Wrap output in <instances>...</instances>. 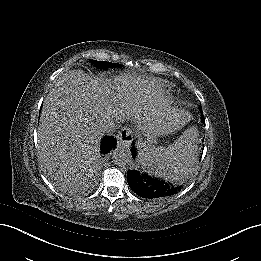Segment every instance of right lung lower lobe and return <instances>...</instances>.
<instances>
[{
	"label": "right lung lower lobe",
	"instance_id": "1",
	"mask_svg": "<svg viewBox=\"0 0 261 261\" xmlns=\"http://www.w3.org/2000/svg\"><path fill=\"white\" fill-rule=\"evenodd\" d=\"M117 142L116 139L111 137V136H106L103 138L102 140V144H101V152L103 154H107L110 152V150H112V148H114L116 146ZM105 157V155H104Z\"/></svg>",
	"mask_w": 261,
	"mask_h": 261
}]
</instances>
